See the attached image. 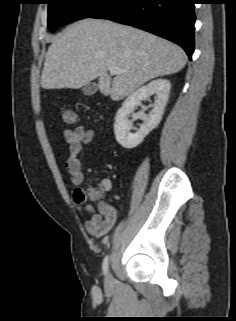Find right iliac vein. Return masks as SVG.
I'll use <instances>...</instances> for the list:
<instances>
[{"instance_id":"right-iliac-vein-1","label":"right iliac vein","mask_w":236,"mask_h":321,"mask_svg":"<svg viewBox=\"0 0 236 321\" xmlns=\"http://www.w3.org/2000/svg\"><path fill=\"white\" fill-rule=\"evenodd\" d=\"M105 284H106V287L108 288L111 287L113 284V278L110 272L106 274Z\"/></svg>"}]
</instances>
